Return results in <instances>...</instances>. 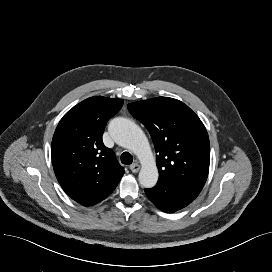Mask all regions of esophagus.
Listing matches in <instances>:
<instances>
[{
    "label": "esophagus",
    "mask_w": 272,
    "mask_h": 272,
    "mask_svg": "<svg viewBox=\"0 0 272 272\" xmlns=\"http://www.w3.org/2000/svg\"><path fill=\"white\" fill-rule=\"evenodd\" d=\"M129 168L133 173H137L140 170V165L138 163H134L130 165Z\"/></svg>",
    "instance_id": "1"
}]
</instances>
